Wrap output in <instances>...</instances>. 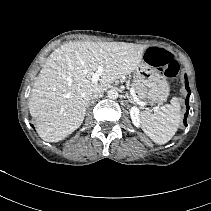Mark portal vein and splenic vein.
<instances>
[{
	"instance_id": "18ae733b",
	"label": "portal vein and splenic vein",
	"mask_w": 211,
	"mask_h": 211,
	"mask_svg": "<svg viewBox=\"0 0 211 211\" xmlns=\"http://www.w3.org/2000/svg\"><path fill=\"white\" fill-rule=\"evenodd\" d=\"M103 71H104L103 66H99L97 71L92 75V81L98 82V80L100 79V76L102 75ZM130 94L133 96V98L135 99L136 102H139V99L136 95V92L132 87L130 88Z\"/></svg>"
}]
</instances>
